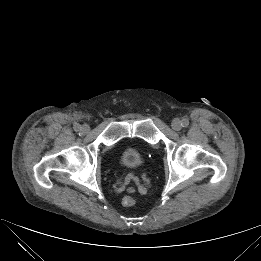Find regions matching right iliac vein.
<instances>
[{"label":"right iliac vein","mask_w":261,"mask_h":261,"mask_svg":"<svg viewBox=\"0 0 261 261\" xmlns=\"http://www.w3.org/2000/svg\"><path fill=\"white\" fill-rule=\"evenodd\" d=\"M90 130V127L87 125V124H84L82 127H81V131L82 133L84 134H87Z\"/></svg>","instance_id":"right-iliac-vein-1"}]
</instances>
